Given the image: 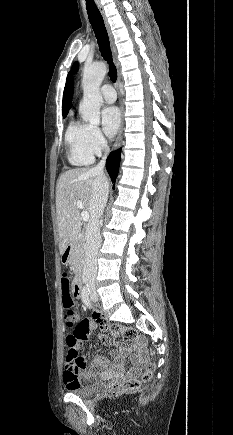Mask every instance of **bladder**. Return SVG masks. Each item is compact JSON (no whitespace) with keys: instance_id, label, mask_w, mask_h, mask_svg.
<instances>
[{"instance_id":"obj_1","label":"bladder","mask_w":233,"mask_h":435,"mask_svg":"<svg viewBox=\"0 0 233 435\" xmlns=\"http://www.w3.org/2000/svg\"><path fill=\"white\" fill-rule=\"evenodd\" d=\"M101 388V385L96 382H88L83 384L82 386H77L70 390L71 394H75L81 397H87L95 394Z\"/></svg>"}]
</instances>
